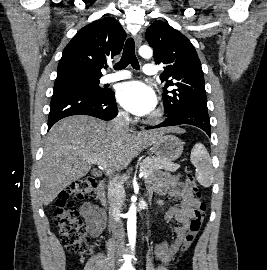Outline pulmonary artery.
<instances>
[{
	"instance_id": "pulmonary-artery-1",
	"label": "pulmonary artery",
	"mask_w": 267,
	"mask_h": 270,
	"mask_svg": "<svg viewBox=\"0 0 267 270\" xmlns=\"http://www.w3.org/2000/svg\"><path fill=\"white\" fill-rule=\"evenodd\" d=\"M143 73L146 75H154L156 74V67L153 64H145L143 67ZM131 77V73L128 70L117 71L115 73H111L105 75L102 78L104 83H110L118 80L128 79Z\"/></svg>"
}]
</instances>
